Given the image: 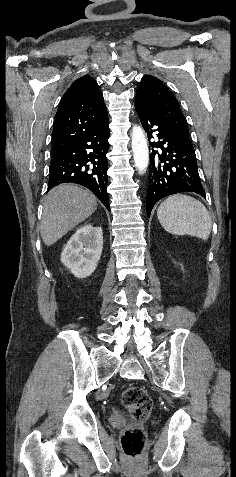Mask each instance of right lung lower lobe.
I'll use <instances>...</instances> for the list:
<instances>
[{"mask_svg":"<svg viewBox=\"0 0 236 477\" xmlns=\"http://www.w3.org/2000/svg\"><path fill=\"white\" fill-rule=\"evenodd\" d=\"M108 121L70 146L53 155L49 168L48 190L62 183H77L90 189L109 210Z\"/></svg>","mask_w":236,"mask_h":477,"instance_id":"98d812e1","label":"right lung lower lobe"}]
</instances>
